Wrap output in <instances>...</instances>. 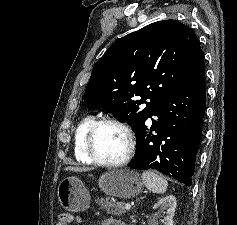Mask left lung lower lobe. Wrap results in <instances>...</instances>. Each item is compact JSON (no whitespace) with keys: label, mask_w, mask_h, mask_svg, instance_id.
<instances>
[{"label":"left lung lower lobe","mask_w":237,"mask_h":225,"mask_svg":"<svg viewBox=\"0 0 237 225\" xmlns=\"http://www.w3.org/2000/svg\"><path fill=\"white\" fill-rule=\"evenodd\" d=\"M205 90L204 80L160 99L135 130L136 152L128 167L156 169L191 186L202 140ZM153 115L157 118L148 126L147 121Z\"/></svg>","instance_id":"left-lung-lower-lobe-1"}]
</instances>
